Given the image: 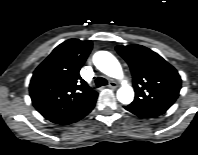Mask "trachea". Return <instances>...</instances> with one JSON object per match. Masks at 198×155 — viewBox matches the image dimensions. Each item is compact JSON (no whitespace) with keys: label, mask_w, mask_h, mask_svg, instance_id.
Returning <instances> with one entry per match:
<instances>
[{"label":"trachea","mask_w":198,"mask_h":155,"mask_svg":"<svg viewBox=\"0 0 198 155\" xmlns=\"http://www.w3.org/2000/svg\"><path fill=\"white\" fill-rule=\"evenodd\" d=\"M95 84H96V87H101V86H105L108 84L107 80L103 77H98L96 80H95Z\"/></svg>","instance_id":"obj_1"}]
</instances>
